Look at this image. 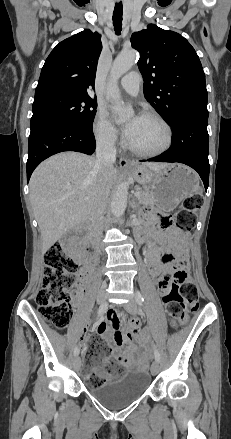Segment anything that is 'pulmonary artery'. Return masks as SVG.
Returning a JSON list of instances; mask_svg holds the SVG:
<instances>
[{
  "mask_svg": "<svg viewBox=\"0 0 231 439\" xmlns=\"http://www.w3.org/2000/svg\"><path fill=\"white\" fill-rule=\"evenodd\" d=\"M141 75L138 72H131L123 76L120 80L121 87L129 94L135 96L139 92Z\"/></svg>",
  "mask_w": 231,
  "mask_h": 439,
  "instance_id": "obj_1",
  "label": "pulmonary artery"
}]
</instances>
